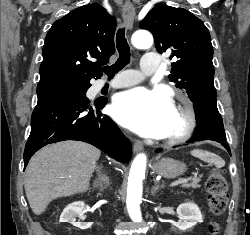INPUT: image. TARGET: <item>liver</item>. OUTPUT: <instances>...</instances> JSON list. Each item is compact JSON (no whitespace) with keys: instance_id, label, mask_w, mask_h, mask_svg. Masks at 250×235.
Here are the masks:
<instances>
[{"instance_id":"obj_1","label":"liver","mask_w":250,"mask_h":235,"mask_svg":"<svg viewBox=\"0 0 250 235\" xmlns=\"http://www.w3.org/2000/svg\"><path fill=\"white\" fill-rule=\"evenodd\" d=\"M100 155V150L79 141L59 142L38 151L29 161L24 181L33 213L42 214L56 198L86 192Z\"/></svg>"}]
</instances>
